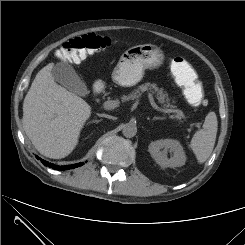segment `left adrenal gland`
I'll return each mask as SVG.
<instances>
[{
    "label": "left adrenal gland",
    "mask_w": 245,
    "mask_h": 245,
    "mask_svg": "<svg viewBox=\"0 0 245 245\" xmlns=\"http://www.w3.org/2000/svg\"><path fill=\"white\" fill-rule=\"evenodd\" d=\"M159 119L162 120L163 118L162 117H156V116L153 118V120H159Z\"/></svg>",
    "instance_id": "1"
}]
</instances>
